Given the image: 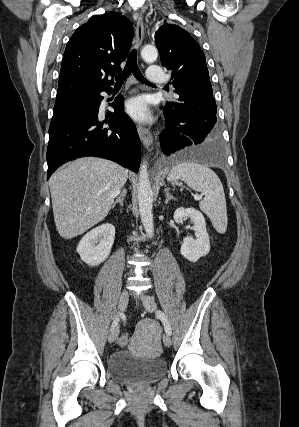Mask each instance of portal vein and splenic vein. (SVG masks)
Wrapping results in <instances>:
<instances>
[{"mask_svg":"<svg viewBox=\"0 0 299 427\" xmlns=\"http://www.w3.org/2000/svg\"><path fill=\"white\" fill-rule=\"evenodd\" d=\"M195 200H200L201 198H202V196L201 195H195Z\"/></svg>","mask_w":299,"mask_h":427,"instance_id":"1","label":"portal vein and splenic vein"}]
</instances>
